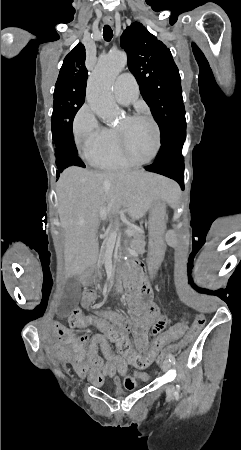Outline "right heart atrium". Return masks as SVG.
I'll return each mask as SVG.
<instances>
[{"instance_id":"d8ad5b80","label":"right heart atrium","mask_w":241,"mask_h":450,"mask_svg":"<svg viewBox=\"0 0 241 450\" xmlns=\"http://www.w3.org/2000/svg\"><path fill=\"white\" fill-rule=\"evenodd\" d=\"M74 141L78 153L82 156L97 155L102 147V131L97 127L95 116L88 106H83L77 113L74 122ZM109 136V133H104Z\"/></svg>"}]
</instances>
